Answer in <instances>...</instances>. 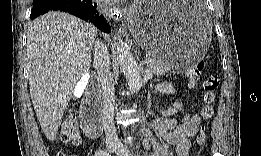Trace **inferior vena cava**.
Listing matches in <instances>:
<instances>
[{
  "mask_svg": "<svg viewBox=\"0 0 261 156\" xmlns=\"http://www.w3.org/2000/svg\"><path fill=\"white\" fill-rule=\"evenodd\" d=\"M93 65L97 69L103 92V126L106 134V143L114 146L119 141L114 125V81L110 73V58L107 47L100 41H97L94 46Z\"/></svg>",
  "mask_w": 261,
  "mask_h": 156,
  "instance_id": "1",
  "label": "inferior vena cava"
}]
</instances>
